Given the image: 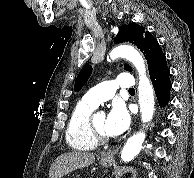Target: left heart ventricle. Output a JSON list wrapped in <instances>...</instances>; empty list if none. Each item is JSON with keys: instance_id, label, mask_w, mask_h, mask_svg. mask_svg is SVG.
<instances>
[{"instance_id": "1", "label": "left heart ventricle", "mask_w": 194, "mask_h": 178, "mask_svg": "<svg viewBox=\"0 0 194 178\" xmlns=\"http://www.w3.org/2000/svg\"><path fill=\"white\" fill-rule=\"evenodd\" d=\"M93 120L97 129L102 133L106 134L104 129L106 116L104 114H96Z\"/></svg>"}]
</instances>
